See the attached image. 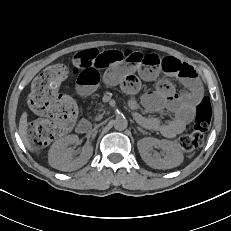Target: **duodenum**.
Instances as JSON below:
<instances>
[{"label":"duodenum","instance_id":"410a0bca","mask_svg":"<svg viewBox=\"0 0 231 231\" xmlns=\"http://www.w3.org/2000/svg\"><path fill=\"white\" fill-rule=\"evenodd\" d=\"M77 132L79 134H86L91 130V124L88 120H81L77 125Z\"/></svg>","mask_w":231,"mask_h":231}]
</instances>
